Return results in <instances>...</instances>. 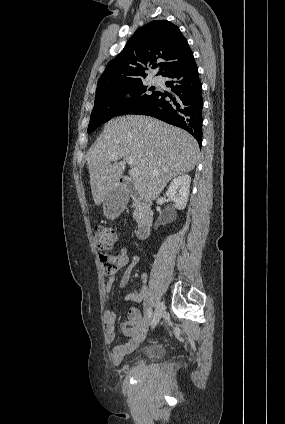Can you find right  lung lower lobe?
Listing matches in <instances>:
<instances>
[{
    "instance_id": "right-lung-lower-lobe-1",
    "label": "right lung lower lobe",
    "mask_w": 285,
    "mask_h": 424,
    "mask_svg": "<svg viewBox=\"0 0 285 424\" xmlns=\"http://www.w3.org/2000/svg\"><path fill=\"white\" fill-rule=\"evenodd\" d=\"M165 77L172 94L157 93L145 104L129 114L155 117L166 123L180 127L194 136L201 147L202 143V84L194 57L183 66L171 71ZM169 96L170 100L165 98Z\"/></svg>"
}]
</instances>
